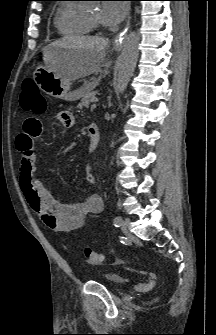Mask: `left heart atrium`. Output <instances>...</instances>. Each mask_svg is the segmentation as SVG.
Listing matches in <instances>:
<instances>
[{
  "label": "left heart atrium",
  "instance_id": "1",
  "mask_svg": "<svg viewBox=\"0 0 216 335\" xmlns=\"http://www.w3.org/2000/svg\"><path fill=\"white\" fill-rule=\"evenodd\" d=\"M127 11V4L123 2L105 1L102 5L100 21L106 26L116 27L125 18Z\"/></svg>",
  "mask_w": 216,
  "mask_h": 335
}]
</instances>
